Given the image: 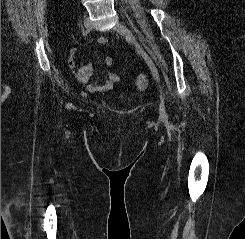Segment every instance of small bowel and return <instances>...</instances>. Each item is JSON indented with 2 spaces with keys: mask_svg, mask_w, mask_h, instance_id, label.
<instances>
[{
  "mask_svg": "<svg viewBox=\"0 0 245 239\" xmlns=\"http://www.w3.org/2000/svg\"><path fill=\"white\" fill-rule=\"evenodd\" d=\"M98 43L106 45L108 43L105 37H100ZM78 50L72 49L69 55V66L75 79L84 85L89 92H105L111 90L116 83L120 81V76L114 72H107L102 81L91 82L93 66L91 64L79 65L77 63ZM104 64L108 67L113 66L114 60L112 57H105Z\"/></svg>",
  "mask_w": 245,
  "mask_h": 239,
  "instance_id": "c3829d8e",
  "label": "small bowel"
}]
</instances>
